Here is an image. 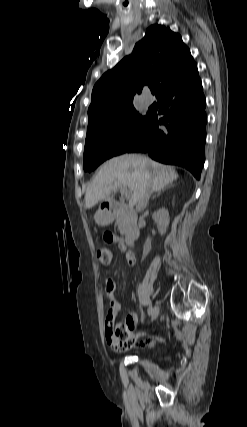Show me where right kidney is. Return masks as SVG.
<instances>
[{"mask_svg": "<svg viewBox=\"0 0 247 427\" xmlns=\"http://www.w3.org/2000/svg\"><path fill=\"white\" fill-rule=\"evenodd\" d=\"M152 218L157 223L160 234L164 235L167 231L170 220L168 210L165 208H160L153 213Z\"/></svg>", "mask_w": 247, "mask_h": 427, "instance_id": "right-kidney-1", "label": "right kidney"}]
</instances>
